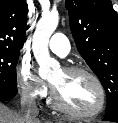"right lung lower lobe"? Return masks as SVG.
I'll use <instances>...</instances> for the list:
<instances>
[{"instance_id":"1","label":"right lung lower lobe","mask_w":118,"mask_h":123,"mask_svg":"<svg viewBox=\"0 0 118 123\" xmlns=\"http://www.w3.org/2000/svg\"><path fill=\"white\" fill-rule=\"evenodd\" d=\"M16 94V88H0V101L11 100Z\"/></svg>"}]
</instances>
